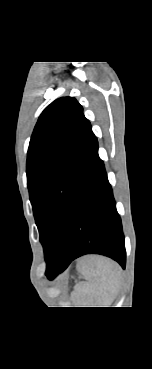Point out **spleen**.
<instances>
[{
  "label": "spleen",
  "instance_id": "3e777b00",
  "mask_svg": "<svg viewBox=\"0 0 152 369\" xmlns=\"http://www.w3.org/2000/svg\"><path fill=\"white\" fill-rule=\"evenodd\" d=\"M83 275L87 281L76 286L77 305H81L78 307H109L118 293V264L105 257L93 256L85 265Z\"/></svg>",
  "mask_w": 152,
  "mask_h": 369
}]
</instances>
